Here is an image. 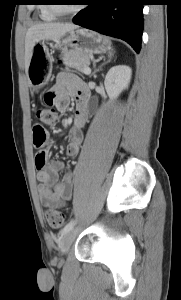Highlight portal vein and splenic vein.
Returning <instances> with one entry per match:
<instances>
[{"instance_id": "18ae733b", "label": "portal vein and splenic vein", "mask_w": 181, "mask_h": 300, "mask_svg": "<svg viewBox=\"0 0 181 300\" xmlns=\"http://www.w3.org/2000/svg\"><path fill=\"white\" fill-rule=\"evenodd\" d=\"M83 73H85L86 75H89L91 73V69L89 67L84 68Z\"/></svg>"}]
</instances>
